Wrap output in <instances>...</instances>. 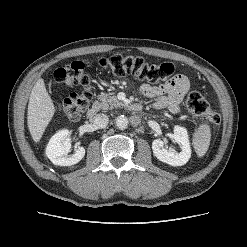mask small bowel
<instances>
[{
  "label": "small bowel",
  "instance_id": "obj_1",
  "mask_svg": "<svg viewBox=\"0 0 247 247\" xmlns=\"http://www.w3.org/2000/svg\"><path fill=\"white\" fill-rule=\"evenodd\" d=\"M189 88L188 78L178 74L159 86L144 83L141 85L140 91L145 97L155 98V109H168L172 113H178L180 104Z\"/></svg>",
  "mask_w": 247,
  "mask_h": 247
}]
</instances>
